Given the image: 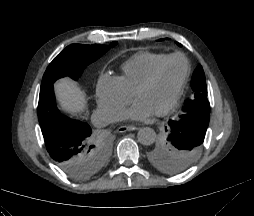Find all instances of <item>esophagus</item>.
Instances as JSON below:
<instances>
[{
	"label": "esophagus",
	"instance_id": "esophagus-1",
	"mask_svg": "<svg viewBox=\"0 0 254 216\" xmlns=\"http://www.w3.org/2000/svg\"><path fill=\"white\" fill-rule=\"evenodd\" d=\"M138 128L136 126H132V125H125V126H120L117 131L119 133H124L126 131H133V130H137Z\"/></svg>",
	"mask_w": 254,
	"mask_h": 216
}]
</instances>
